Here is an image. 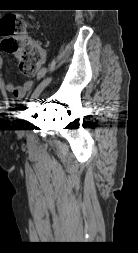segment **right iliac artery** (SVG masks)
<instances>
[{
  "label": "right iliac artery",
  "instance_id": "obj_1",
  "mask_svg": "<svg viewBox=\"0 0 138 253\" xmlns=\"http://www.w3.org/2000/svg\"><path fill=\"white\" fill-rule=\"evenodd\" d=\"M48 74V68L43 67L42 70L39 71V73L37 74L38 80H41V78H44L45 75Z\"/></svg>",
  "mask_w": 138,
  "mask_h": 253
}]
</instances>
